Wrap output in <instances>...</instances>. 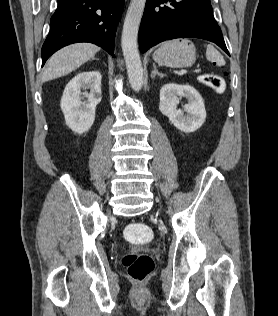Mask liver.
<instances>
[{
  "instance_id": "6515ba94",
  "label": "liver",
  "mask_w": 278,
  "mask_h": 316,
  "mask_svg": "<svg viewBox=\"0 0 278 316\" xmlns=\"http://www.w3.org/2000/svg\"><path fill=\"white\" fill-rule=\"evenodd\" d=\"M99 47L91 43H76L57 51L47 62L42 81H50L65 76L94 58Z\"/></svg>"
}]
</instances>
